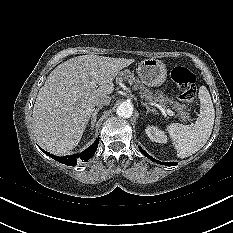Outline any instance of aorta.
<instances>
[{"instance_id": "1", "label": "aorta", "mask_w": 233, "mask_h": 233, "mask_svg": "<svg viewBox=\"0 0 233 233\" xmlns=\"http://www.w3.org/2000/svg\"><path fill=\"white\" fill-rule=\"evenodd\" d=\"M116 114L122 118H130L133 114V105L130 102H122L116 110Z\"/></svg>"}]
</instances>
